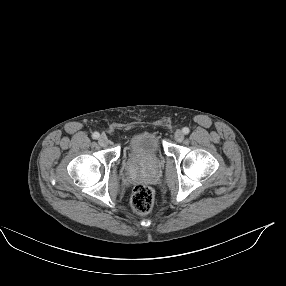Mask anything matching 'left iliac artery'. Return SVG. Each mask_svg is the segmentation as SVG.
<instances>
[{"label": "left iliac artery", "mask_w": 286, "mask_h": 286, "mask_svg": "<svg viewBox=\"0 0 286 286\" xmlns=\"http://www.w3.org/2000/svg\"><path fill=\"white\" fill-rule=\"evenodd\" d=\"M182 131H183L184 134H188L190 132V129L188 127H184L182 129Z\"/></svg>", "instance_id": "left-iliac-artery-1"}]
</instances>
